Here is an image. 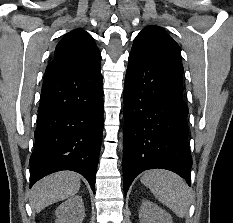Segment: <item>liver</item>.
<instances>
[{"mask_svg":"<svg viewBox=\"0 0 233 223\" xmlns=\"http://www.w3.org/2000/svg\"><path fill=\"white\" fill-rule=\"evenodd\" d=\"M81 181L78 173L74 171H57L46 175L37 181L31 189L30 205L35 207L37 213L47 205L62 201L78 193Z\"/></svg>","mask_w":233,"mask_h":223,"instance_id":"6515ba94","label":"liver"}]
</instances>
